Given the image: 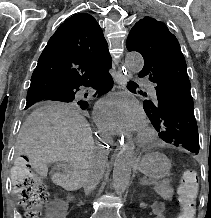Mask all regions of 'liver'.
I'll return each instance as SVG.
<instances>
[{
    "label": "liver",
    "mask_w": 211,
    "mask_h": 218,
    "mask_svg": "<svg viewBox=\"0 0 211 218\" xmlns=\"http://www.w3.org/2000/svg\"><path fill=\"white\" fill-rule=\"evenodd\" d=\"M17 148L28 156L30 166L40 176H47L51 162H67L73 172L53 174L51 180L64 190L80 188L85 176L102 162L94 148L92 130L80 110L69 104H48L34 110L25 120L17 138Z\"/></svg>",
    "instance_id": "liver-1"
}]
</instances>
